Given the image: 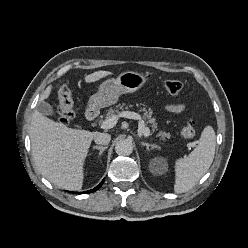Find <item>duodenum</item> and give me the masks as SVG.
I'll list each match as a JSON object with an SVG mask.
<instances>
[{"instance_id": "obj_1", "label": "duodenum", "mask_w": 248, "mask_h": 248, "mask_svg": "<svg viewBox=\"0 0 248 248\" xmlns=\"http://www.w3.org/2000/svg\"><path fill=\"white\" fill-rule=\"evenodd\" d=\"M97 117V110L94 108H89L85 113V119L87 121H94Z\"/></svg>"}]
</instances>
